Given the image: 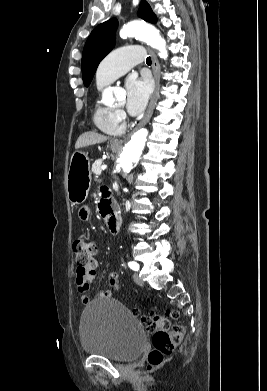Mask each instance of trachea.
I'll use <instances>...</instances> for the list:
<instances>
[{"label": "trachea", "mask_w": 267, "mask_h": 391, "mask_svg": "<svg viewBox=\"0 0 267 391\" xmlns=\"http://www.w3.org/2000/svg\"><path fill=\"white\" fill-rule=\"evenodd\" d=\"M146 63H147L148 65H151L152 61H151V58H150V57H148V58L146 59Z\"/></svg>", "instance_id": "trachea-1"}]
</instances>
